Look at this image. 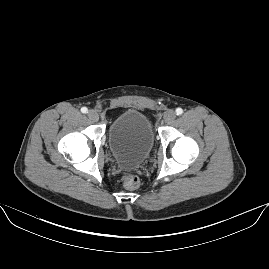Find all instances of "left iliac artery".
<instances>
[{
  "instance_id": "left-iliac-artery-1",
  "label": "left iliac artery",
  "mask_w": 269,
  "mask_h": 269,
  "mask_svg": "<svg viewBox=\"0 0 269 269\" xmlns=\"http://www.w3.org/2000/svg\"><path fill=\"white\" fill-rule=\"evenodd\" d=\"M183 113V110L181 108L176 109V114L181 115Z\"/></svg>"
}]
</instances>
